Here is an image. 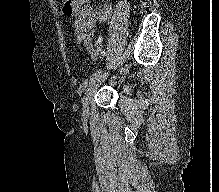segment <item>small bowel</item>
<instances>
[{"label": "small bowel", "mask_w": 219, "mask_h": 192, "mask_svg": "<svg viewBox=\"0 0 219 192\" xmlns=\"http://www.w3.org/2000/svg\"><path fill=\"white\" fill-rule=\"evenodd\" d=\"M90 1L65 0L63 12L66 16L74 18V35L78 49L81 52L86 49L90 57L96 59L97 54L91 52V42L95 36L97 25L110 19L112 8L108 0L98 7H93Z\"/></svg>", "instance_id": "1"}]
</instances>
